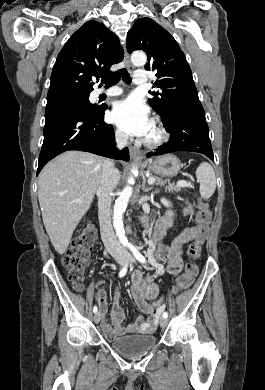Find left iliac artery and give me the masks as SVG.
Instances as JSON below:
<instances>
[{
	"label": "left iliac artery",
	"mask_w": 265,
	"mask_h": 390,
	"mask_svg": "<svg viewBox=\"0 0 265 390\" xmlns=\"http://www.w3.org/2000/svg\"><path fill=\"white\" fill-rule=\"evenodd\" d=\"M130 248V250L132 251L133 255L135 256V258L141 262V263H146V259L145 257L138 251V249L136 247H134L133 245H129L128 246ZM163 318H167L168 317V313L167 312H164L162 314Z\"/></svg>",
	"instance_id": "obj_1"
}]
</instances>
